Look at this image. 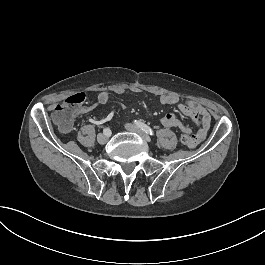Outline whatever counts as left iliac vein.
<instances>
[{
  "instance_id": "1",
  "label": "left iliac vein",
  "mask_w": 265,
  "mask_h": 265,
  "mask_svg": "<svg viewBox=\"0 0 265 265\" xmlns=\"http://www.w3.org/2000/svg\"><path fill=\"white\" fill-rule=\"evenodd\" d=\"M126 129L130 132L136 133L139 135L146 143H149L151 141L150 137L141 129H139L137 126L127 123L125 125Z\"/></svg>"
}]
</instances>
